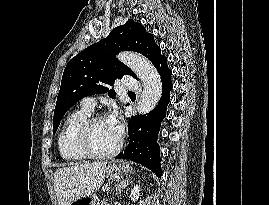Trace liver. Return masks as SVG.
<instances>
[{
	"instance_id": "obj_1",
	"label": "liver",
	"mask_w": 269,
	"mask_h": 205,
	"mask_svg": "<svg viewBox=\"0 0 269 205\" xmlns=\"http://www.w3.org/2000/svg\"><path fill=\"white\" fill-rule=\"evenodd\" d=\"M107 162L64 167L56 170L54 189L59 205H70L83 195L96 192L105 180Z\"/></svg>"
}]
</instances>
